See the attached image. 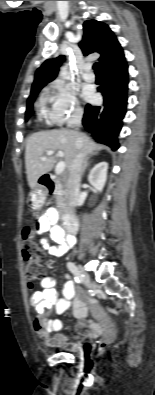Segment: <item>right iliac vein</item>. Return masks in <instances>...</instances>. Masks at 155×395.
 I'll return each mask as SVG.
<instances>
[{"mask_svg": "<svg viewBox=\"0 0 155 395\" xmlns=\"http://www.w3.org/2000/svg\"><path fill=\"white\" fill-rule=\"evenodd\" d=\"M78 271L82 276V281L86 284L87 287H90L91 281L89 274L85 271V269L81 265H78Z\"/></svg>", "mask_w": 155, "mask_h": 395, "instance_id": "63e3f726", "label": "right iliac vein"}]
</instances>
